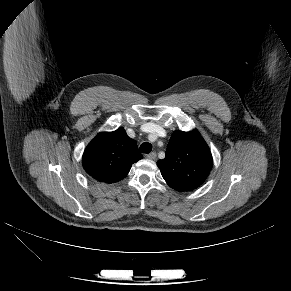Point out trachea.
I'll use <instances>...</instances> for the list:
<instances>
[{
    "label": "trachea",
    "instance_id": "1",
    "mask_svg": "<svg viewBox=\"0 0 291 291\" xmlns=\"http://www.w3.org/2000/svg\"><path fill=\"white\" fill-rule=\"evenodd\" d=\"M152 150V145L150 143L144 142L140 146V152L144 154L150 153Z\"/></svg>",
    "mask_w": 291,
    "mask_h": 291
}]
</instances>
